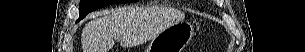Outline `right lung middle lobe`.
Segmentation results:
<instances>
[{
    "mask_svg": "<svg viewBox=\"0 0 305 52\" xmlns=\"http://www.w3.org/2000/svg\"><path fill=\"white\" fill-rule=\"evenodd\" d=\"M137 0H80V18L78 21L83 19L89 12H92L98 8L114 4V3H127Z\"/></svg>",
    "mask_w": 305,
    "mask_h": 52,
    "instance_id": "dd1d6c3e",
    "label": "right lung middle lobe"
}]
</instances>
